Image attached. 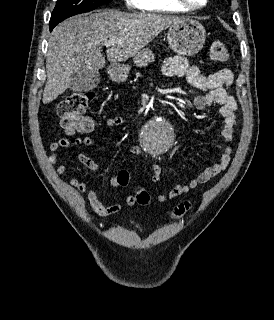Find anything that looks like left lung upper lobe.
Masks as SVG:
<instances>
[{
  "label": "left lung upper lobe",
  "mask_w": 274,
  "mask_h": 320,
  "mask_svg": "<svg viewBox=\"0 0 274 320\" xmlns=\"http://www.w3.org/2000/svg\"><path fill=\"white\" fill-rule=\"evenodd\" d=\"M228 2L231 4V0H228Z\"/></svg>",
  "instance_id": "left-lung-upper-lobe-1"
}]
</instances>
